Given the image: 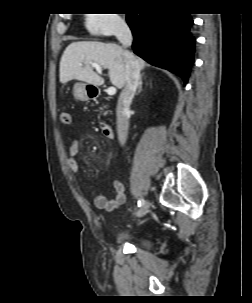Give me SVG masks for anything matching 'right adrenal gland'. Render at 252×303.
Returning <instances> with one entry per match:
<instances>
[{
    "label": "right adrenal gland",
    "mask_w": 252,
    "mask_h": 303,
    "mask_svg": "<svg viewBox=\"0 0 252 303\" xmlns=\"http://www.w3.org/2000/svg\"><path fill=\"white\" fill-rule=\"evenodd\" d=\"M142 76H140V79H139V85H138V91L136 93V95H138L141 91H142Z\"/></svg>",
    "instance_id": "1"
}]
</instances>
